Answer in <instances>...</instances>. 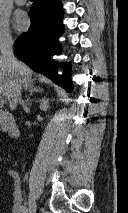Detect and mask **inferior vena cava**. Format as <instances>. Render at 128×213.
I'll return each mask as SVG.
<instances>
[{
	"label": "inferior vena cava",
	"instance_id": "602c4592",
	"mask_svg": "<svg viewBox=\"0 0 128 213\" xmlns=\"http://www.w3.org/2000/svg\"><path fill=\"white\" fill-rule=\"evenodd\" d=\"M0 50H1L2 56L6 59L8 64L12 66L15 69V71H18L19 64L13 54L12 37L8 36L3 40L2 44L0 45ZM14 97L16 102L23 104V101L21 100V83L18 80H16L15 87H14Z\"/></svg>",
	"mask_w": 128,
	"mask_h": 213
}]
</instances>
